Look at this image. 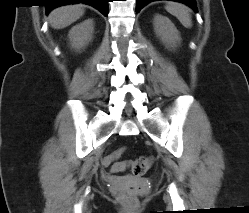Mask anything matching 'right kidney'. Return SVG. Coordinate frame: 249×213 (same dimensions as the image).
Segmentation results:
<instances>
[{"instance_id": "ca27d5eb", "label": "right kidney", "mask_w": 249, "mask_h": 213, "mask_svg": "<svg viewBox=\"0 0 249 213\" xmlns=\"http://www.w3.org/2000/svg\"><path fill=\"white\" fill-rule=\"evenodd\" d=\"M94 27L93 20L87 19L71 28L68 37L71 47L76 51L86 47L92 39Z\"/></svg>"}]
</instances>
